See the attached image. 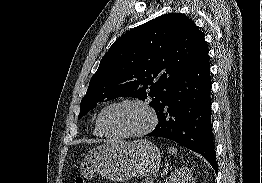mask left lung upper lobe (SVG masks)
I'll return each instance as SVG.
<instances>
[{
    "instance_id": "1",
    "label": "left lung upper lobe",
    "mask_w": 262,
    "mask_h": 183,
    "mask_svg": "<svg viewBox=\"0 0 262 183\" xmlns=\"http://www.w3.org/2000/svg\"><path fill=\"white\" fill-rule=\"evenodd\" d=\"M203 33L180 13L161 15L117 39L92 76L78 119L117 97L149 99L157 112L174 80L206 49Z\"/></svg>"
}]
</instances>
